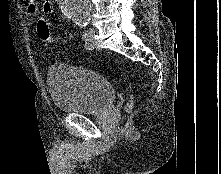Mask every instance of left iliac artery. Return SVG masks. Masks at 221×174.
<instances>
[{
  "instance_id": "44dca946",
  "label": "left iliac artery",
  "mask_w": 221,
  "mask_h": 174,
  "mask_svg": "<svg viewBox=\"0 0 221 174\" xmlns=\"http://www.w3.org/2000/svg\"><path fill=\"white\" fill-rule=\"evenodd\" d=\"M88 23H89V20L87 21H80V22H78V25L79 26H81V27H86L87 25H88Z\"/></svg>"
}]
</instances>
